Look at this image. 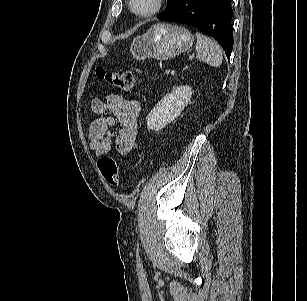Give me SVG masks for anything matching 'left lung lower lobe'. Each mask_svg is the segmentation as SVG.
<instances>
[{
  "instance_id": "1",
  "label": "left lung lower lobe",
  "mask_w": 307,
  "mask_h": 301,
  "mask_svg": "<svg viewBox=\"0 0 307 301\" xmlns=\"http://www.w3.org/2000/svg\"><path fill=\"white\" fill-rule=\"evenodd\" d=\"M231 0H180L159 20L194 26L214 37L230 58L233 49Z\"/></svg>"
}]
</instances>
